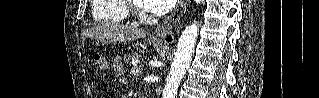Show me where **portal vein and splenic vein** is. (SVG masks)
<instances>
[{
    "label": "portal vein and splenic vein",
    "instance_id": "portal-vein-and-splenic-vein-1",
    "mask_svg": "<svg viewBox=\"0 0 319 98\" xmlns=\"http://www.w3.org/2000/svg\"><path fill=\"white\" fill-rule=\"evenodd\" d=\"M131 72H132L134 75H138V74L141 72V70H140V68H138V67L136 66V64H133V67H132V69H131Z\"/></svg>",
    "mask_w": 319,
    "mask_h": 98
}]
</instances>
